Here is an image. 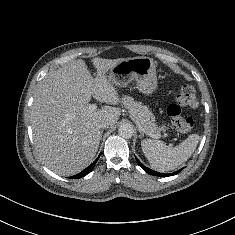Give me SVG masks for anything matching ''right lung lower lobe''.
<instances>
[{
    "mask_svg": "<svg viewBox=\"0 0 235 235\" xmlns=\"http://www.w3.org/2000/svg\"><path fill=\"white\" fill-rule=\"evenodd\" d=\"M98 159H99V157L91 165H89L86 169H84L82 172H80L77 175L71 176L69 178L77 179V178H81V177L87 175L93 169V167L95 166Z\"/></svg>",
    "mask_w": 235,
    "mask_h": 235,
    "instance_id": "right-lung-lower-lobe-1",
    "label": "right lung lower lobe"
}]
</instances>
